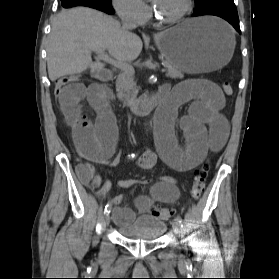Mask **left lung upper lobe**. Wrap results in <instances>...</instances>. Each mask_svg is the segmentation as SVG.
I'll list each match as a JSON object with an SVG mask.
<instances>
[{
    "instance_id": "left-lung-upper-lobe-1",
    "label": "left lung upper lobe",
    "mask_w": 279,
    "mask_h": 279,
    "mask_svg": "<svg viewBox=\"0 0 279 279\" xmlns=\"http://www.w3.org/2000/svg\"><path fill=\"white\" fill-rule=\"evenodd\" d=\"M205 1H207V0H195L197 6L204 3Z\"/></svg>"
}]
</instances>
